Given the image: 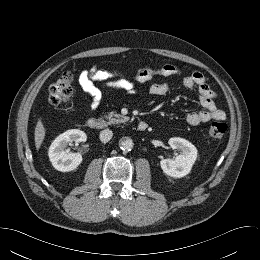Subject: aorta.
I'll return each mask as SVG.
<instances>
[{"label": "aorta", "mask_w": 260, "mask_h": 260, "mask_svg": "<svg viewBox=\"0 0 260 260\" xmlns=\"http://www.w3.org/2000/svg\"><path fill=\"white\" fill-rule=\"evenodd\" d=\"M119 146L123 151H131L134 143L131 138H122L119 142Z\"/></svg>", "instance_id": "obj_1"}]
</instances>
